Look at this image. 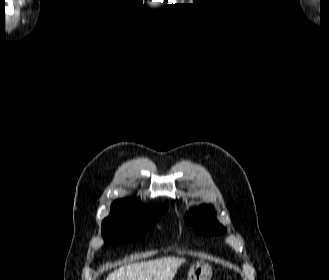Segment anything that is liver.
I'll use <instances>...</instances> for the list:
<instances>
[{"label":"liver","instance_id":"1","mask_svg":"<svg viewBox=\"0 0 329 280\" xmlns=\"http://www.w3.org/2000/svg\"><path fill=\"white\" fill-rule=\"evenodd\" d=\"M184 262L179 257L133 262L109 273L106 280H172Z\"/></svg>","mask_w":329,"mask_h":280}]
</instances>
